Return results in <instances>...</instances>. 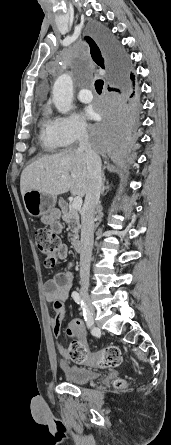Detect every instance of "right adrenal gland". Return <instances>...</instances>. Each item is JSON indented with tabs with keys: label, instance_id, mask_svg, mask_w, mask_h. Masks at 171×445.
<instances>
[{
	"label": "right adrenal gland",
	"instance_id": "1",
	"mask_svg": "<svg viewBox=\"0 0 171 445\" xmlns=\"http://www.w3.org/2000/svg\"><path fill=\"white\" fill-rule=\"evenodd\" d=\"M109 189H110L109 185L105 186V178H104L103 183H102V188H101V194L103 195L105 190H109Z\"/></svg>",
	"mask_w": 171,
	"mask_h": 445
}]
</instances>
